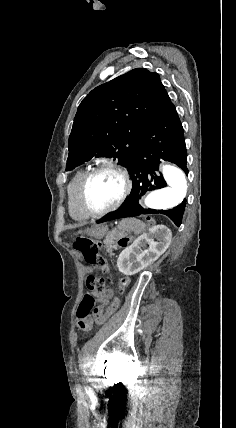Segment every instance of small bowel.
<instances>
[{
    "label": "small bowel",
    "mask_w": 236,
    "mask_h": 428,
    "mask_svg": "<svg viewBox=\"0 0 236 428\" xmlns=\"http://www.w3.org/2000/svg\"><path fill=\"white\" fill-rule=\"evenodd\" d=\"M111 296H112V292L111 291H105V292L101 293L99 295L100 302L103 305H106L109 302ZM90 325H91V322L89 321L88 324L86 325V327L88 328V327H90Z\"/></svg>",
    "instance_id": "small-bowel-1"
}]
</instances>
